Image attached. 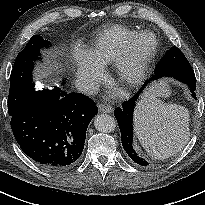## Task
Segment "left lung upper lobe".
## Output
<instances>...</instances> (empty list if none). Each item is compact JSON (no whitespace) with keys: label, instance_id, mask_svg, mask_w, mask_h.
Instances as JSON below:
<instances>
[{"label":"left lung upper lobe","instance_id":"1","mask_svg":"<svg viewBox=\"0 0 205 205\" xmlns=\"http://www.w3.org/2000/svg\"><path fill=\"white\" fill-rule=\"evenodd\" d=\"M189 68H191V65L185 55L177 47H172L157 65L155 74H163L172 70Z\"/></svg>","mask_w":205,"mask_h":205}]
</instances>
